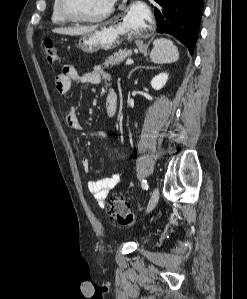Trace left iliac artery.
Here are the masks:
<instances>
[{"label": "left iliac artery", "mask_w": 247, "mask_h": 299, "mask_svg": "<svg viewBox=\"0 0 247 299\" xmlns=\"http://www.w3.org/2000/svg\"><path fill=\"white\" fill-rule=\"evenodd\" d=\"M141 186L143 189L148 190L149 185L147 183V180H142Z\"/></svg>", "instance_id": "left-iliac-artery-1"}]
</instances>
